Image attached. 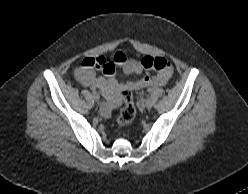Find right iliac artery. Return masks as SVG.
<instances>
[{
	"label": "right iliac artery",
	"instance_id": "82829eb1",
	"mask_svg": "<svg viewBox=\"0 0 248 194\" xmlns=\"http://www.w3.org/2000/svg\"><path fill=\"white\" fill-rule=\"evenodd\" d=\"M91 91H92L93 93H96V89H95V88H91Z\"/></svg>",
	"mask_w": 248,
	"mask_h": 194
}]
</instances>
